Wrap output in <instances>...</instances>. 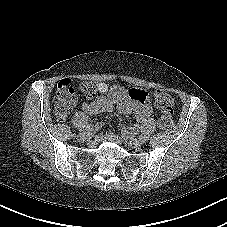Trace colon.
<instances>
[{"label":"colon","mask_w":227,"mask_h":227,"mask_svg":"<svg viewBox=\"0 0 227 227\" xmlns=\"http://www.w3.org/2000/svg\"><path fill=\"white\" fill-rule=\"evenodd\" d=\"M79 90L85 98H92L98 92V83L84 81L79 85ZM154 104L163 110L158 124L161 128L167 129L173 124L172 108L174 106L173 97L164 90H156L153 93ZM76 103V94L69 80L59 82L56 95L54 97V112L56 119L65 121L70 115Z\"/></svg>","instance_id":"5ec220e1"}]
</instances>
